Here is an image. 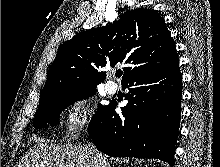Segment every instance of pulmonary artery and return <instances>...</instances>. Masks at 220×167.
Returning a JSON list of instances; mask_svg holds the SVG:
<instances>
[{
    "label": "pulmonary artery",
    "instance_id": "e3ab8cb5",
    "mask_svg": "<svg viewBox=\"0 0 220 167\" xmlns=\"http://www.w3.org/2000/svg\"><path fill=\"white\" fill-rule=\"evenodd\" d=\"M117 86L113 82H107L105 84V90L108 94L112 95L116 92Z\"/></svg>",
    "mask_w": 220,
    "mask_h": 167
}]
</instances>
